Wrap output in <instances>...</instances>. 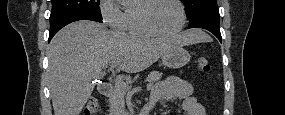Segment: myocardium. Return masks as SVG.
<instances>
[{
  "label": "myocardium",
  "instance_id": "f54148a6",
  "mask_svg": "<svg viewBox=\"0 0 285 115\" xmlns=\"http://www.w3.org/2000/svg\"><path fill=\"white\" fill-rule=\"evenodd\" d=\"M158 1H162V0H146L141 5V11H140L141 12V21H142L144 27L146 28V30L149 33H151L152 35H155V36L168 37V36L177 35L178 33H180L183 30V28L185 27V24H186V11H185V8H184L182 1H180V0H169L178 6L179 12H180L179 26L175 30L170 31V32H164V31L157 29L156 27L153 26V24L151 23V21L149 19V11L152 9L153 5L155 3H157Z\"/></svg>",
  "mask_w": 285,
  "mask_h": 115
}]
</instances>
